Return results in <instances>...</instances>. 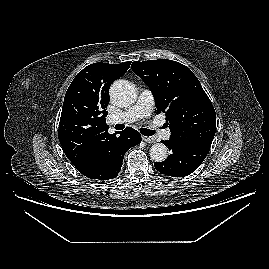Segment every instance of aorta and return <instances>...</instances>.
I'll use <instances>...</instances> for the list:
<instances>
[{"label": "aorta", "mask_w": 269, "mask_h": 269, "mask_svg": "<svg viewBox=\"0 0 269 269\" xmlns=\"http://www.w3.org/2000/svg\"><path fill=\"white\" fill-rule=\"evenodd\" d=\"M110 98L117 106H129L136 98L135 87L126 80H117L110 88ZM149 154L155 162H163L168 156V148L163 143H156L151 146Z\"/></svg>", "instance_id": "1"}]
</instances>
